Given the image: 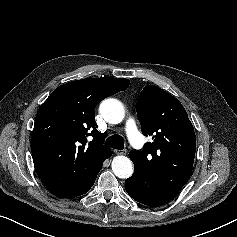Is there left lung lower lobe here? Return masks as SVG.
<instances>
[{
  "label": "left lung lower lobe",
  "instance_id": "0a47b994",
  "mask_svg": "<svg viewBox=\"0 0 237 237\" xmlns=\"http://www.w3.org/2000/svg\"><path fill=\"white\" fill-rule=\"evenodd\" d=\"M125 188H126V191L129 194V196H131L135 201L143 203V204H145L149 207L161 206V205H157V204L147 202L142 198V196L139 193L138 189L134 185V180L132 179V176L125 180Z\"/></svg>",
  "mask_w": 237,
  "mask_h": 237
}]
</instances>
